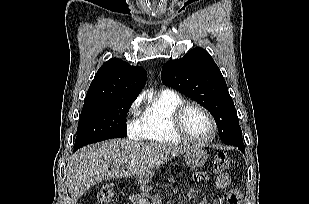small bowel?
<instances>
[{
  "label": "small bowel",
  "instance_id": "obj_1",
  "mask_svg": "<svg viewBox=\"0 0 309 204\" xmlns=\"http://www.w3.org/2000/svg\"><path fill=\"white\" fill-rule=\"evenodd\" d=\"M195 179L197 180H204L206 179V176L203 174V173H197L195 175ZM230 181H231V178H230V175L227 174V173H222L220 174L216 181H215V186L217 189L219 190H224L226 189L229 185H230ZM239 196L241 197L239 191L235 190V189H232L228 192V195H227V198L228 200L232 197V196ZM240 204V203H239Z\"/></svg>",
  "mask_w": 309,
  "mask_h": 204
}]
</instances>
